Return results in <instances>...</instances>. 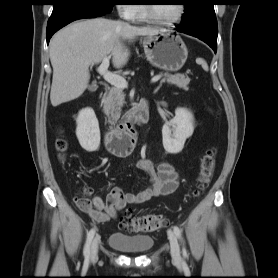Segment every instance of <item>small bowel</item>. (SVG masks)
<instances>
[{
    "label": "small bowel",
    "mask_w": 278,
    "mask_h": 278,
    "mask_svg": "<svg viewBox=\"0 0 278 278\" xmlns=\"http://www.w3.org/2000/svg\"><path fill=\"white\" fill-rule=\"evenodd\" d=\"M137 168L149 177V185L136 193L124 192L121 188H113L103 199L95 195L92 199H79L78 208L96 222H105L117 216L127 204H141L154 197L173 193L179 186V175L169 162H161L154 166L152 162L141 159Z\"/></svg>",
    "instance_id": "c3829d8e"
}]
</instances>
